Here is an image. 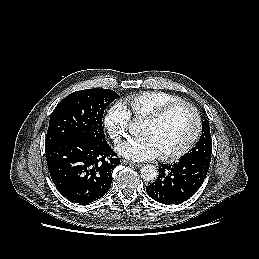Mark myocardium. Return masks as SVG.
I'll list each match as a JSON object with an SVG mask.
<instances>
[{"label":"myocardium","instance_id":"obj_1","mask_svg":"<svg viewBox=\"0 0 259 259\" xmlns=\"http://www.w3.org/2000/svg\"><path fill=\"white\" fill-rule=\"evenodd\" d=\"M179 107L189 108L195 117V128L190 138L177 150L159 154V158L162 160H175L185 155L198 140L202 131V118L199 110L191 103L187 101H178L170 103L159 110L155 111L148 117L144 118V121L149 124H156L167 117L171 112Z\"/></svg>","mask_w":259,"mask_h":259}]
</instances>
